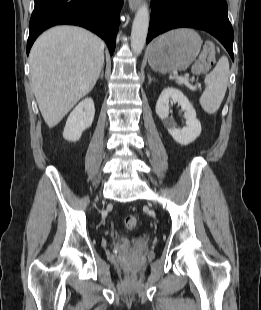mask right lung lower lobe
<instances>
[{
	"label": "right lung lower lobe",
	"mask_w": 261,
	"mask_h": 310,
	"mask_svg": "<svg viewBox=\"0 0 261 310\" xmlns=\"http://www.w3.org/2000/svg\"><path fill=\"white\" fill-rule=\"evenodd\" d=\"M122 3V0H35L27 54L39 34L58 24H73L91 30L104 39L113 54Z\"/></svg>",
	"instance_id": "98d812e1"
}]
</instances>
